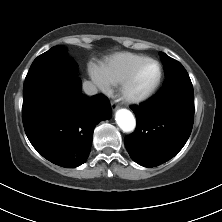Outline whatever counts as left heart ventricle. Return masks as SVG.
I'll return each mask as SVG.
<instances>
[{"label": "left heart ventricle", "instance_id": "b2bd125f", "mask_svg": "<svg viewBox=\"0 0 222 222\" xmlns=\"http://www.w3.org/2000/svg\"><path fill=\"white\" fill-rule=\"evenodd\" d=\"M158 69L153 63L146 64L138 73L136 79L129 88V94L140 96L145 93L157 78Z\"/></svg>", "mask_w": 222, "mask_h": 222}]
</instances>
